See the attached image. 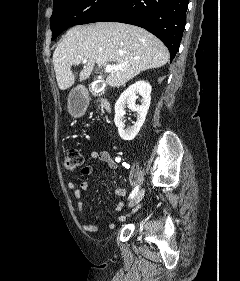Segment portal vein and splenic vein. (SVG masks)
I'll use <instances>...</instances> for the list:
<instances>
[{
    "label": "portal vein and splenic vein",
    "mask_w": 240,
    "mask_h": 281,
    "mask_svg": "<svg viewBox=\"0 0 240 281\" xmlns=\"http://www.w3.org/2000/svg\"><path fill=\"white\" fill-rule=\"evenodd\" d=\"M83 63H87V60H83ZM113 70H122V67L118 65H107L105 67V72H111Z\"/></svg>",
    "instance_id": "1"
}]
</instances>
